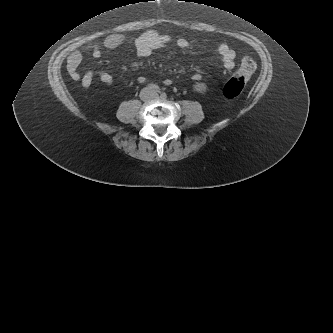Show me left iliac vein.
<instances>
[{"instance_id": "4c4485c4", "label": "left iliac vein", "mask_w": 333, "mask_h": 333, "mask_svg": "<svg viewBox=\"0 0 333 333\" xmlns=\"http://www.w3.org/2000/svg\"><path fill=\"white\" fill-rule=\"evenodd\" d=\"M153 96H154L155 98H157V97H158L156 94H153Z\"/></svg>"}]
</instances>
